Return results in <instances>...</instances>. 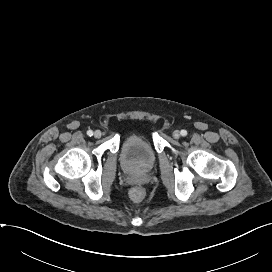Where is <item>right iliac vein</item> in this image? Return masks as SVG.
<instances>
[{"label": "right iliac vein", "instance_id": "obj_1", "mask_svg": "<svg viewBox=\"0 0 272 272\" xmlns=\"http://www.w3.org/2000/svg\"><path fill=\"white\" fill-rule=\"evenodd\" d=\"M101 135H102V133H101V131H99V130H96V131L94 132V137H95V138H100Z\"/></svg>", "mask_w": 272, "mask_h": 272}]
</instances>
